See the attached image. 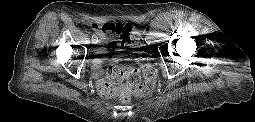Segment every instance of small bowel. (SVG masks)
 <instances>
[{
	"mask_svg": "<svg viewBox=\"0 0 255 122\" xmlns=\"http://www.w3.org/2000/svg\"><path fill=\"white\" fill-rule=\"evenodd\" d=\"M97 37L99 38V41H100L101 44L106 43L107 35L104 31H102V30L98 31L97 32ZM126 45H127L126 38L123 35H118L116 39L111 40L107 43V48L108 49H115V48H118V47H121V46H126ZM123 58H124L123 56H117V57H115V61H120ZM100 66H101V61L100 60H95L92 64V69L95 72H97L99 70ZM98 88H99V84H98Z\"/></svg>",
	"mask_w": 255,
	"mask_h": 122,
	"instance_id": "c3829d8e",
	"label": "small bowel"
}]
</instances>
